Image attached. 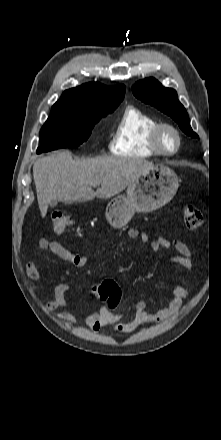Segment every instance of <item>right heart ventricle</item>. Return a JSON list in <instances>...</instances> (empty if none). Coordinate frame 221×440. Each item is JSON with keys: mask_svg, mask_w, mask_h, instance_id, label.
<instances>
[{"mask_svg": "<svg viewBox=\"0 0 221 440\" xmlns=\"http://www.w3.org/2000/svg\"><path fill=\"white\" fill-rule=\"evenodd\" d=\"M157 119L135 106H127L113 131L109 148L118 156L148 158L156 156L151 145V131Z\"/></svg>", "mask_w": 221, "mask_h": 440, "instance_id": "right-heart-ventricle-1", "label": "right heart ventricle"}]
</instances>
